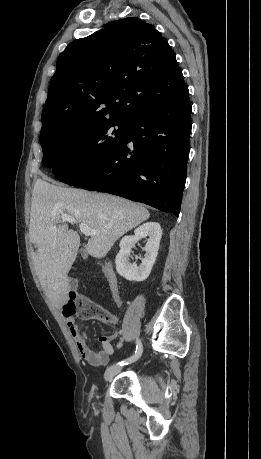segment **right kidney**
<instances>
[{"label":"right kidney","instance_id":"obj_1","mask_svg":"<svg viewBox=\"0 0 261 459\" xmlns=\"http://www.w3.org/2000/svg\"><path fill=\"white\" fill-rule=\"evenodd\" d=\"M149 237L144 247L145 255L141 258L142 263L129 262V256L135 244L146 237ZM162 229L157 222H147L135 229L133 236H125L120 241V251L116 255L115 264L117 273L128 281H144L149 276L155 263Z\"/></svg>","mask_w":261,"mask_h":459}]
</instances>
